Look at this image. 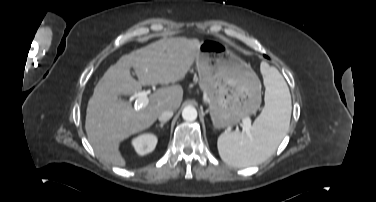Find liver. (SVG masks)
Listing matches in <instances>:
<instances>
[{
    "label": "liver",
    "mask_w": 376,
    "mask_h": 202,
    "mask_svg": "<svg viewBox=\"0 0 376 202\" xmlns=\"http://www.w3.org/2000/svg\"><path fill=\"white\" fill-rule=\"evenodd\" d=\"M199 46L198 39L163 38L122 56L108 68L89 99L85 121L88 141L102 160L125 166L120 142L150 127L163 111L177 110L183 89L179 85L159 88L139 109L118 95H133L141 92L142 86L182 80L193 65ZM130 68L139 81L131 76Z\"/></svg>",
    "instance_id": "obj_1"
}]
</instances>
